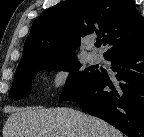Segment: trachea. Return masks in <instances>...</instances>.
<instances>
[{"mask_svg":"<svg viewBox=\"0 0 144 137\" xmlns=\"http://www.w3.org/2000/svg\"><path fill=\"white\" fill-rule=\"evenodd\" d=\"M101 44H102V41L98 40V41L95 43V46H96V47H100Z\"/></svg>","mask_w":144,"mask_h":137,"instance_id":"trachea-1","label":"trachea"}]
</instances>
